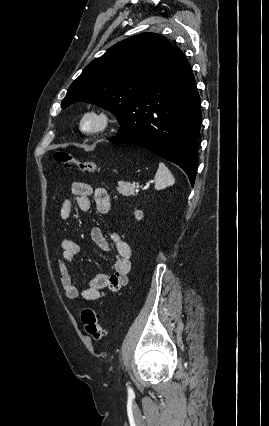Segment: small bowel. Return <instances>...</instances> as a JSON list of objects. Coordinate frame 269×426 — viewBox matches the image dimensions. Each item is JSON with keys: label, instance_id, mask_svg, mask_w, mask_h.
I'll list each match as a JSON object with an SVG mask.
<instances>
[{"label": "small bowel", "instance_id": "c3829d8e", "mask_svg": "<svg viewBox=\"0 0 269 426\" xmlns=\"http://www.w3.org/2000/svg\"><path fill=\"white\" fill-rule=\"evenodd\" d=\"M72 198L63 202L60 216L68 220L72 216L74 207L87 212L91 209V197H93L97 210L101 214L108 213L111 206V198L105 188H93L84 182H74L71 187ZM93 243L101 250L107 251L109 243L99 227L91 230ZM112 239L115 247V259L109 272L99 273L88 282L87 287L79 291L73 275L69 269L75 257L80 252L78 243L72 239H63L60 243L62 256L57 260L59 280L65 296L72 301H98L116 293L127 284L131 271V248L117 233H113Z\"/></svg>", "mask_w": 269, "mask_h": 426}]
</instances>
